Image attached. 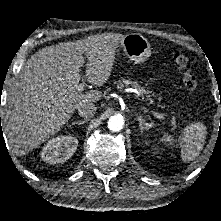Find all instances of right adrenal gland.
<instances>
[{
    "mask_svg": "<svg viewBox=\"0 0 221 221\" xmlns=\"http://www.w3.org/2000/svg\"><path fill=\"white\" fill-rule=\"evenodd\" d=\"M86 122H87V120H81V121L79 120V121H74L72 124H73V125H75V124H76V125H83V124L86 123Z\"/></svg>",
    "mask_w": 221,
    "mask_h": 221,
    "instance_id": "obj_1",
    "label": "right adrenal gland"
}]
</instances>
